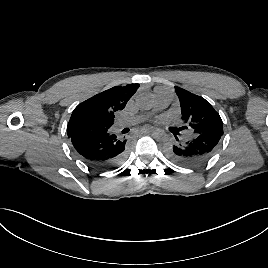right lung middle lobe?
<instances>
[{
	"label": "right lung middle lobe",
	"mask_w": 268,
	"mask_h": 268,
	"mask_svg": "<svg viewBox=\"0 0 268 268\" xmlns=\"http://www.w3.org/2000/svg\"><path fill=\"white\" fill-rule=\"evenodd\" d=\"M109 129L104 125L98 124L94 121L81 119L74 122L70 126L71 135H83V136H90L95 135L98 133L105 132Z\"/></svg>",
	"instance_id": "right-lung-middle-lobe-1"
}]
</instances>
